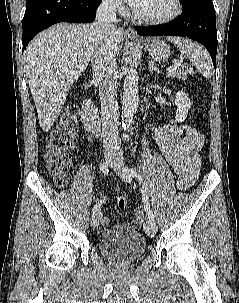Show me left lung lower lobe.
Returning a JSON list of instances; mask_svg holds the SVG:
<instances>
[{
	"mask_svg": "<svg viewBox=\"0 0 239 303\" xmlns=\"http://www.w3.org/2000/svg\"><path fill=\"white\" fill-rule=\"evenodd\" d=\"M142 36H184L203 44L216 67L217 31L212 0H196L184 6L180 17L162 26L135 27Z\"/></svg>",
	"mask_w": 239,
	"mask_h": 303,
	"instance_id": "left-lung-lower-lobe-1",
	"label": "left lung lower lobe"
}]
</instances>
